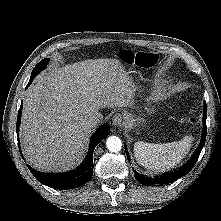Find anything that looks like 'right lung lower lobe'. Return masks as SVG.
<instances>
[{
	"instance_id": "98d812e1",
	"label": "right lung lower lobe",
	"mask_w": 221,
	"mask_h": 221,
	"mask_svg": "<svg viewBox=\"0 0 221 221\" xmlns=\"http://www.w3.org/2000/svg\"><path fill=\"white\" fill-rule=\"evenodd\" d=\"M34 78H30L27 87L31 84ZM26 87V88H27ZM22 113V103L20 106V110L18 112L17 117V137L19 124ZM110 134V128L108 124H104L95 132L90 141L89 151L87 153L86 158L81 163V165L72 171L67 173H56V174H48V173H40L36 170H33L29 167L30 171L34 175V177L42 184L59 190L73 189L79 186L84 185L88 182L93 174V151L96 145L106 138Z\"/></svg>"
}]
</instances>
